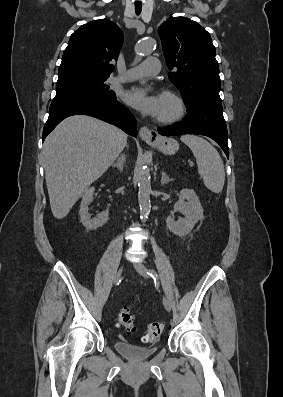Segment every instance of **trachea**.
<instances>
[{
    "mask_svg": "<svg viewBox=\"0 0 283 397\" xmlns=\"http://www.w3.org/2000/svg\"><path fill=\"white\" fill-rule=\"evenodd\" d=\"M142 11V5H135V13L139 15Z\"/></svg>",
    "mask_w": 283,
    "mask_h": 397,
    "instance_id": "1",
    "label": "trachea"
}]
</instances>
